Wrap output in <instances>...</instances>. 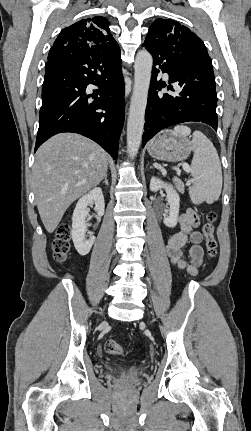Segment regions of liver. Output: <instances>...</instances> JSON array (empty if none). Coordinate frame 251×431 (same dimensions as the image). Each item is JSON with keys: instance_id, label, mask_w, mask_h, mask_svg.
Listing matches in <instances>:
<instances>
[{"instance_id": "1", "label": "liver", "mask_w": 251, "mask_h": 431, "mask_svg": "<svg viewBox=\"0 0 251 431\" xmlns=\"http://www.w3.org/2000/svg\"><path fill=\"white\" fill-rule=\"evenodd\" d=\"M108 160L97 143L74 133L58 134L37 150L33 187L48 233L54 232L75 200L104 179Z\"/></svg>"}]
</instances>
